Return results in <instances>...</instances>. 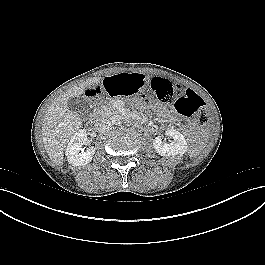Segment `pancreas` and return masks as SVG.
I'll list each match as a JSON object with an SVG mask.
<instances>
[{"label": "pancreas", "instance_id": "1", "mask_svg": "<svg viewBox=\"0 0 265 265\" xmlns=\"http://www.w3.org/2000/svg\"><path fill=\"white\" fill-rule=\"evenodd\" d=\"M115 111L113 109V103L108 102L105 105H102L96 110V113L100 115L101 117H108L111 114H113Z\"/></svg>", "mask_w": 265, "mask_h": 265}]
</instances>
